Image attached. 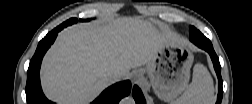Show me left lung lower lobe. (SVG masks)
<instances>
[{
	"mask_svg": "<svg viewBox=\"0 0 252 104\" xmlns=\"http://www.w3.org/2000/svg\"><path fill=\"white\" fill-rule=\"evenodd\" d=\"M190 40L199 48L204 49L207 51L212 59L214 69L216 71L218 77V97L216 104H220L222 101L223 96V88H222V77H221V66L219 62V58L217 57L213 47H209L208 45L211 44L210 40L206 38L199 30L194 33V35H190ZM132 95L136 101V104H146L145 98L139 89L138 86H134L132 90Z\"/></svg>",
	"mask_w": 252,
	"mask_h": 104,
	"instance_id": "left-lung-lower-lobe-1",
	"label": "left lung lower lobe"
}]
</instances>
